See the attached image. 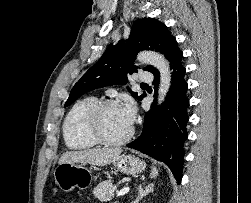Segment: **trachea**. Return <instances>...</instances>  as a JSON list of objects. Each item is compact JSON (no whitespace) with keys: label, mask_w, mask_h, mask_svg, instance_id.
Listing matches in <instances>:
<instances>
[{"label":"trachea","mask_w":251,"mask_h":203,"mask_svg":"<svg viewBox=\"0 0 251 203\" xmlns=\"http://www.w3.org/2000/svg\"><path fill=\"white\" fill-rule=\"evenodd\" d=\"M142 86H145V85H147V84H141Z\"/></svg>","instance_id":"1"}]
</instances>
